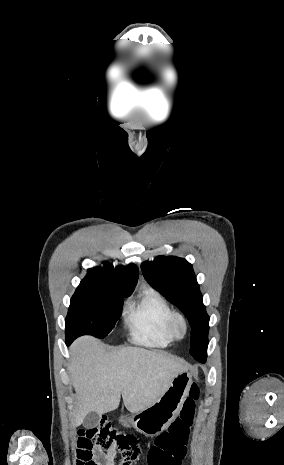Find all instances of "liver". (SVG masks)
I'll use <instances>...</instances> for the list:
<instances>
[{"mask_svg": "<svg viewBox=\"0 0 284 465\" xmlns=\"http://www.w3.org/2000/svg\"><path fill=\"white\" fill-rule=\"evenodd\" d=\"M71 375L77 395L73 427H80L88 413L104 415L118 409L121 395L130 413L153 405L172 379L187 371L182 359L162 351L122 347L107 353L94 337H80L70 347Z\"/></svg>", "mask_w": 284, "mask_h": 465, "instance_id": "1", "label": "liver"}]
</instances>
